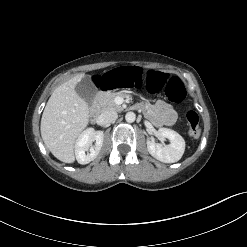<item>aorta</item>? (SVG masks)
I'll list each match as a JSON object with an SVG mask.
<instances>
[{"instance_id":"762f6f07","label":"aorta","mask_w":247,"mask_h":247,"mask_svg":"<svg viewBox=\"0 0 247 247\" xmlns=\"http://www.w3.org/2000/svg\"><path fill=\"white\" fill-rule=\"evenodd\" d=\"M136 119V115L134 112H128L126 113L125 115V120L128 122V123H132L134 122Z\"/></svg>"}]
</instances>
